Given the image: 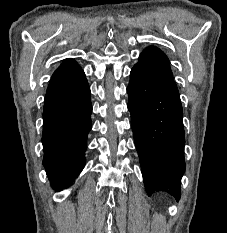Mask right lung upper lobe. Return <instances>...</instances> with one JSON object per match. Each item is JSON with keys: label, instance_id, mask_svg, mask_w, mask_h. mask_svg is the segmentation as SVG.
Returning <instances> with one entry per match:
<instances>
[{"label": "right lung upper lobe", "instance_id": "1", "mask_svg": "<svg viewBox=\"0 0 227 233\" xmlns=\"http://www.w3.org/2000/svg\"><path fill=\"white\" fill-rule=\"evenodd\" d=\"M85 79L83 70L74 60H64L52 75L44 102L55 99L61 94L74 88Z\"/></svg>", "mask_w": 227, "mask_h": 233}]
</instances>
